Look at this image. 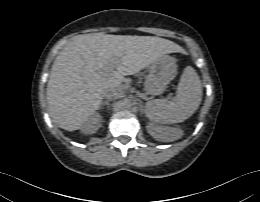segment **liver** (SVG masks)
I'll use <instances>...</instances> for the list:
<instances>
[{"instance_id": "liver-1", "label": "liver", "mask_w": 260, "mask_h": 202, "mask_svg": "<svg viewBox=\"0 0 260 202\" xmlns=\"http://www.w3.org/2000/svg\"><path fill=\"white\" fill-rule=\"evenodd\" d=\"M180 50L176 43L155 36H76L52 65L47 85L50 116L65 130L83 128L100 109L106 90L122 88L125 76L141 71L164 54ZM110 62H115L116 70L106 74L103 68Z\"/></svg>"}]
</instances>
